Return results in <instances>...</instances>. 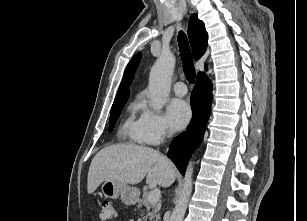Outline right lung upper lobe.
<instances>
[{"instance_id": "1", "label": "right lung upper lobe", "mask_w": 307, "mask_h": 221, "mask_svg": "<svg viewBox=\"0 0 307 221\" xmlns=\"http://www.w3.org/2000/svg\"><path fill=\"white\" fill-rule=\"evenodd\" d=\"M188 36L195 59H199L203 56L207 49V32L205 30L204 23L198 19L196 14H193L189 20ZM141 59V53L135 55L128 63L122 82L120 84L115 102L127 100L129 96L128 87L132 83L135 71ZM206 76L204 73H198L197 77Z\"/></svg>"}]
</instances>
